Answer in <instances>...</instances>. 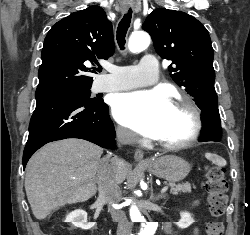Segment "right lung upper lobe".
I'll return each mask as SVG.
<instances>
[{
	"label": "right lung upper lobe",
	"mask_w": 250,
	"mask_h": 235,
	"mask_svg": "<svg viewBox=\"0 0 250 235\" xmlns=\"http://www.w3.org/2000/svg\"><path fill=\"white\" fill-rule=\"evenodd\" d=\"M115 50L112 23L99 6L74 12L53 25L44 40L35 97L91 87L85 66Z\"/></svg>",
	"instance_id": "obj_1"
}]
</instances>
